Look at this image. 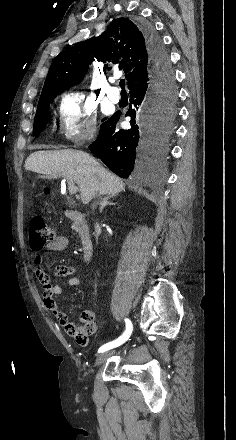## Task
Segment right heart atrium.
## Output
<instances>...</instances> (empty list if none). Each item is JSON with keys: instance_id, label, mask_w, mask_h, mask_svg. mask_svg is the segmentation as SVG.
<instances>
[{"instance_id": "obj_1", "label": "right heart atrium", "mask_w": 236, "mask_h": 440, "mask_svg": "<svg viewBox=\"0 0 236 440\" xmlns=\"http://www.w3.org/2000/svg\"><path fill=\"white\" fill-rule=\"evenodd\" d=\"M57 117L66 139L82 143L96 134L94 105L77 90L63 92L58 101Z\"/></svg>"}]
</instances>
